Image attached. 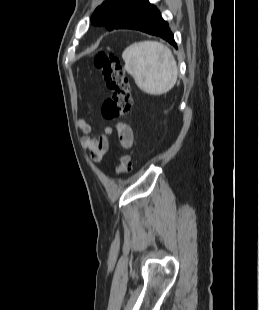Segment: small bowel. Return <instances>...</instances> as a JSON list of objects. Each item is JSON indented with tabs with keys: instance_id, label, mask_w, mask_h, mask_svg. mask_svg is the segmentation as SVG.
I'll list each match as a JSON object with an SVG mask.
<instances>
[{
	"instance_id": "1",
	"label": "small bowel",
	"mask_w": 259,
	"mask_h": 310,
	"mask_svg": "<svg viewBox=\"0 0 259 310\" xmlns=\"http://www.w3.org/2000/svg\"><path fill=\"white\" fill-rule=\"evenodd\" d=\"M77 128L86 133L81 139V144L89 152L91 159L96 162L101 161L108 151V136L112 133V129L110 127H103L102 134L99 137H93L89 135L91 126L84 119H79L77 121ZM118 135L121 146L124 149L132 147L134 143V134L129 125L125 123L119 124Z\"/></svg>"
}]
</instances>
